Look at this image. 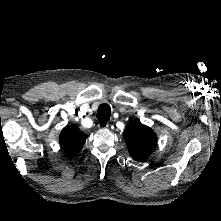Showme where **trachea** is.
Here are the masks:
<instances>
[{
    "mask_svg": "<svg viewBox=\"0 0 221 221\" xmlns=\"http://www.w3.org/2000/svg\"><path fill=\"white\" fill-rule=\"evenodd\" d=\"M111 115V108L108 104H102L99 106L97 110V118L101 122H107L110 119Z\"/></svg>",
    "mask_w": 221,
    "mask_h": 221,
    "instance_id": "3493384b",
    "label": "trachea"
}]
</instances>
